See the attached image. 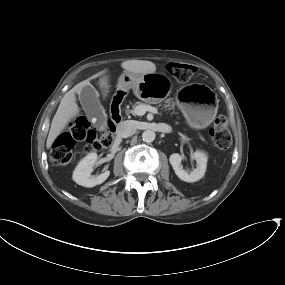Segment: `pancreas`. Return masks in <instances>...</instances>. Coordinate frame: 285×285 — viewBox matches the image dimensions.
I'll return each instance as SVG.
<instances>
[{
  "label": "pancreas",
  "instance_id": "pancreas-1",
  "mask_svg": "<svg viewBox=\"0 0 285 285\" xmlns=\"http://www.w3.org/2000/svg\"><path fill=\"white\" fill-rule=\"evenodd\" d=\"M165 103H166L165 107H168L169 109H174L175 104H174V102L171 99H167L165 101ZM141 104H143V103L136 102L134 105H132L133 109H127L126 110V114L127 115H129V114H133L134 115L135 114V112H134L135 107L138 106V105H141Z\"/></svg>",
  "mask_w": 285,
  "mask_h": 285
}]
</instances>
